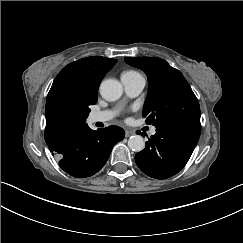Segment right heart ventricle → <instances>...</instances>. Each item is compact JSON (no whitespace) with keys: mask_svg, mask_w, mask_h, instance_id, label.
<instances>
[{"mask_svg":"<svg viewBox=\"0 0 243 243\" xmlns=\"http://www.w3.org/2000/svg\"><path fill=\"white\" fill-rule=\"evenodd\" d=\"M142 75L136 71V70H126L122 72L121 74V80L122 81H136L139 79Z\"/></svg>","mask_w":243,"mask_h":243,"instance_id":"obj_1","label":"right heart ventricle"}]
</instances>
